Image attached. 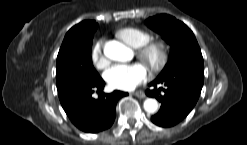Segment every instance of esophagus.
I'll list each match as a JSON object with an SVG mask.
<instances>
[{
    "mask_svg": "<svg viewBox=\"0 0 247 145\" xmlns=\"http://www.w3.org/2000/svg\"><path fill=\"white\" fill-rule=\"evenodd\" d=\"M133 95H135L136 97H138V98H145V93L143 92V91H135L134 93H133Z\"/></svg>",
    "mask_w": 247,
    "mask_h": 145,
    "instance_id": "1",
    "label": "esophagus"
}]
</instances>
